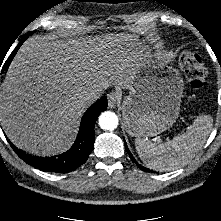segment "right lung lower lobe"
<instances>
[{"instance_id":"right-lung-lower-lobe-1","label":"right lung lower lobe","mask_w":221,"mask_h":221,"mask_svg":"<svg viewBox=\"0 0 221 221\" xmlns=\"http://www.w3.org/2000/svg\"><path fill=\"white\" fill-rule=\"evenodd\" d=\"M107 100L106 97L99 99L95 102L84 114L81 120V129L74 142L73 146L66 152L47 157H36L25 155L22 150H16L20 157L28 164L34 167L43 169L48 172L67 173L77 169L80 165L84 164L93 149L94 145V125L98 115L106 110Z\"/></svg>"}]
</instances>
